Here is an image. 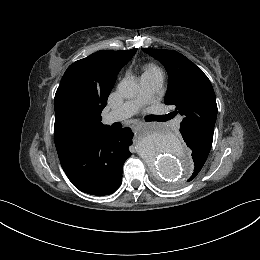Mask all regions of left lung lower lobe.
Masks as SVG:
<instances>
[{"label":"left lung lower lobe","mask_w":260,"mask_h":260,"mask_svg":"<svg viewBox=\"0 0 260 260\" xmlns=\"http://www.w3.org/2000/svg\"><path fill=\"white\" fill-rule=\"evenodd\" d=\"M184 141L186 142L187 146L190 147L192 150L193 158L196 160L199 157L207 158L210 149L203 145L200 141L195 139L194 137L190 136L187 133H181ZM199 172L194 170L192 176L188 179V181L193 180Z\"/></svg>","instance_id":"0a47b994"}]
</instances>
